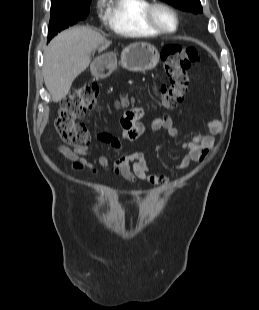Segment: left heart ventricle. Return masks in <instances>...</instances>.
Masks as SVG:
<instances>
[{"instance_id":"b2bd125f","label":"left heart ventricle","mask_w":259,"mask_h":310,"mask_svg":"<svg viewBox=\"0 0 259 310\" xmlns=\"http://www.w3.org/2000/svg\"><path fill=\"white\" fill-rule=\"evenodd\" d=\"M155 18H156V21L164 28L173 29L175 26V21H174L173 16L169 12L163 9H158L155 12Z\"/></svg>"}]
</instances>
